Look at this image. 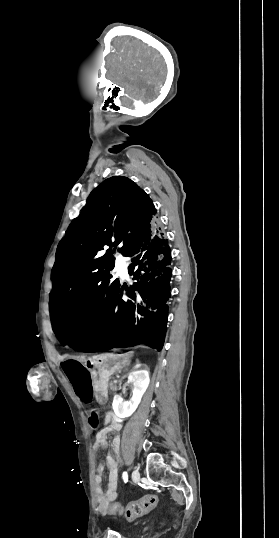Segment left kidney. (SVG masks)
I'll return each mask as SVG.
<instances>
[{
    "label": "left kidney",
    "instance_id": "obj_1",
    "mask_svg": "<svg viewBox=\"0 0 279 538\" xmlns=\"http://www.w3.org/2000/svg\"><path fill=\"white\" fill-rule=\"evenodd\" d=\"M129 384H132L133 396L129 402H124L121 396H114L112 408L118 416V418H129L132 416L133 412L137 410L143 394H145L149 384V372L148 370H136V372H131L128 376Z\"/></svg>",
    "mask_w": 279,
    "mask_h": 538
}]
</instances>
